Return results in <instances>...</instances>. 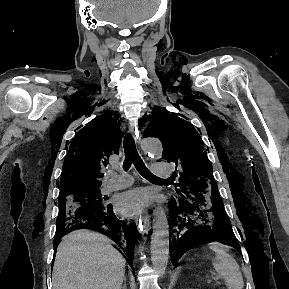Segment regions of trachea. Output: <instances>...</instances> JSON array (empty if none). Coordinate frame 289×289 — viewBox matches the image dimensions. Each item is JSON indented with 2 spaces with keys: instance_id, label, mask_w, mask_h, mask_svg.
I'll use <instances>...</instances> for the list:
<instances>
[{
  "instance_id": "obj_1",
  "label": "trachea",
  "mask_w": 289,
  "mask_h": 289,
  "mask_svg": "<svg viewBox=\"0 0 289 289\" xmlns=\"http://www.w3.org/2000/svg\"><path fill=\"white\" fill-rule=\"evenodd\" d=\"M125 160L123 162V169L127 171L132 164L136 167L137 171L146 179L162 180L153 175L145 166L143 160L138 155L136 145L133 137L130 134H126L123 141Z\"/></svg>"
}]
</instances>
